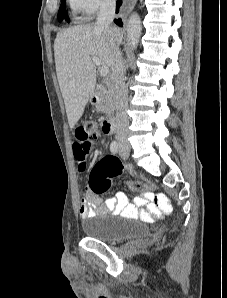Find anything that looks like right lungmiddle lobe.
<instances>
[{"label":"right lung middle lobe","instance_id":"right-lung-middle-lobe-1","mask_svg":"<svg viewBox=\"0 0 227 298\" xmlns=\"http://www.w3.org/2000/svg\"><path fill=\"white\" fill-rule=\"evenodd\" d=\"M65 1H66V0H61L62 5H61V7H60V9H59V13H58V19H59V21H62L63 19H67V20L69 21V19H68V17H67V14L64 13V6H63V3H64Z\"/></svg>","mask_w":227,"mask_h":298}]
</instances>
